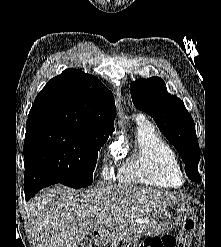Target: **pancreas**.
Returning a JSON list of instances; mask_svg holds the SVG:
<instances>
[{
	"mask_svg": "<svg viewBox=\"0 0 221 247\" xmlns=\"http://www.w3.org/2000/svg\"><path fill=\"white\" fill-rule=\"evenodd\" d=\"M144 225L141 224H135V223H127L124 225L118 232L114 233L118 238L113 240L112 247H117L118 243L125 239L127 236H129L132 232H142L144 229Z\"/></svg>",
	"mask_w": 221,
	"mask_h": 247,
	"instance_id": "1",
	"label": "pancreas"
}]
</instances>
